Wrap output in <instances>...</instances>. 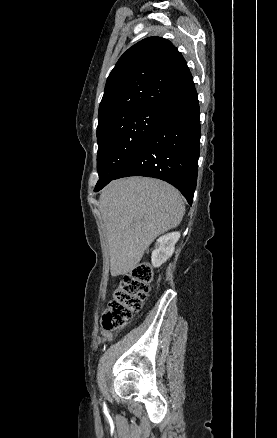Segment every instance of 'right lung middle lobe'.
<instances>
[{
  "label": "right lung middle lobe",
  "instance_id": "right-lung-middle-lobe-1",
  "mask_svg": "<svg viewBox=\"0 0 277 438\" xmlns=\"http://www.w3.org/2000/svg\"><path fill=\"white\" fill-rule=\"evenodd\" d=\"M163 110H146L137 115H114L99 121L97 187L108 184L144 143Z\"/></svg>",
  "mask_w": 277,
  "mask_h": 438
}]
</instances>
